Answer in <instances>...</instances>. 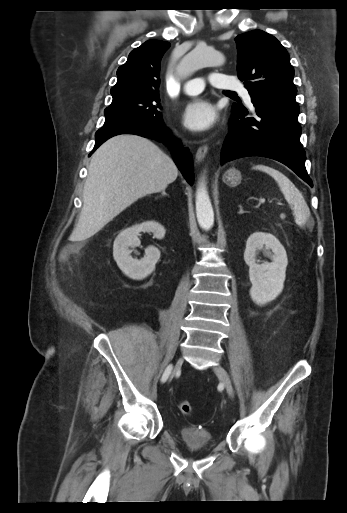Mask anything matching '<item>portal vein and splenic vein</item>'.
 <instances>
[{"label":"portal vein and splenic vein","mask_w":347,"mask_h":513,"mask_svg":"<svg viewBox=\"0 0 347 513\" xmlns=\"http://www.w3.org/2000/svg\"><path fill=\"white\" fill-rule=\"evenodd\" d=\"M265 202V199H261L260 200V204L264 203Z\"/></svg>","instance_id":"18ae733b"}]
</instances>
